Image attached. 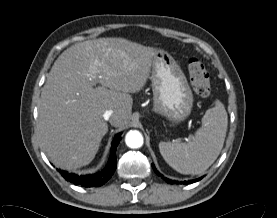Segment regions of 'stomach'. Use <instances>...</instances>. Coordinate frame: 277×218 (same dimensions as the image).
I'll return each mask as SVG.
<instances>
[{
    "instance_id": "stomach-1",
    "label": "stomach",
    "mask_w": 277,
    "mask_h": 218,
    "mask_svg": "<svg viewBox=\"0 0 277 218\" xmlns=\"http://www.w3.org/2000/svg\"><path fill=\"white\" fill-rule=\"evenodd\" d=\"M150 80L154 112L174 124L184 121L191 113L193 94L179 65L162 50L154 56Z\"/></svg>"
}]
</instances>
